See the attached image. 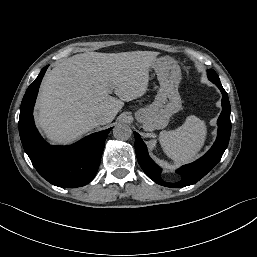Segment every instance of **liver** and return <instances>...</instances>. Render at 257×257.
<instances>
[{
  "instance_id": "obj_1",
  "label": "liver",
  "mask_w": 257,
  "mask_h": 257,
  "mask_svg": "<svg viewBox=\"0 0 257 257\" xmlns=\"http://www.w3.org/2000/svg\"><path fill=\"white\" fill-rule=\"evenodd\" d=\"M157 55L152 51L87 52L66 59L42 81L38 126L52 142L69 143L101 125L96 121L99 115L109 114L111 122L123 101L146 93L149 69Z\"/></svg>"
}]
</instances>
